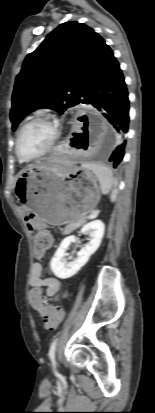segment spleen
I'll return each mask as SVG.
<instances>
[{"label": "spleen", "mask_w": 155, "mask_h": 413, "mask_svg": "<svg viewBox=\"0 0 155 413\" xmlns=\"http://www.w3.org/2000/svg\"><path fill=\"white\" fill-rule=\"evenodd\" d=\"M82 167L93 172L100 183L102 194L109 195L111 202H114L117 196V179L114 177L112 170L107 166L96 163H84Z\"/></svg>", "instance_id": "obj_1"}]
</instances>
